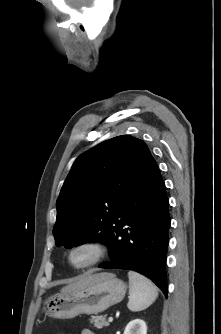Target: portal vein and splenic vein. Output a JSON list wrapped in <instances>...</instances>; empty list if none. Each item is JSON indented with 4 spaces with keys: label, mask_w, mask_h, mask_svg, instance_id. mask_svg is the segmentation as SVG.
<instances>
[{
    "label": "portal vein and splenic vein",
    "mask_w": 221,
    "mask_h": 334,
    "mask_svg": "<svg viewBox=\"0 0 221 334\" xmlns=\"http://www.w3.org/2000/svg\"><path fill=\"white\" fill-rule=\"evenodd\" d=\"M108 321H109V322H112V321H113V317H109V318H108Z\"/></svg>",
    "instance_id": "portal-vein-and-splenic-vein-1"
}]
</instances>
